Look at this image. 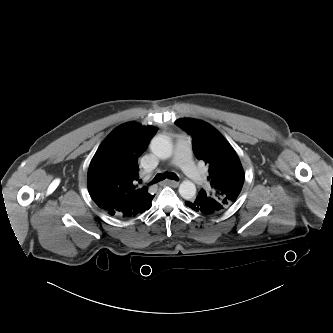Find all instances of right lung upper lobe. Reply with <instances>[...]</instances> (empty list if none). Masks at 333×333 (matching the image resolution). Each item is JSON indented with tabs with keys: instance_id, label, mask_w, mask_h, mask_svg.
Returning a JSON list of instances; mask_svg holds the SVG:
<instances>
[{
	"instance_id": "obj_1",
	"label": "right lung upper lobe",
	"mask_w": 333,
	"mask_h": 333,
	"mask_svg": "<svg viewBox=\"0 0 333 333\" xmlns=\"http://www.w3.org/2000/svg\"><path fill=\"white\" fill-rule=\"evenodd\" d=\"M158 129L135 122L114 129L101 143L88 169L91 198L104 211L133 217L148 210L153 195L140 187L138 158Z\"/></svg>"
}]
</instances>
